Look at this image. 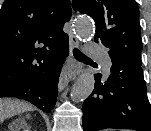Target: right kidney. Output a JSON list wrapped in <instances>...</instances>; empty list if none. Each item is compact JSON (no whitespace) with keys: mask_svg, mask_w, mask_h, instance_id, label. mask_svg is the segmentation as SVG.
I'll return each instance as SVG.
<instances>
[{"mask_svg":"<svg viewBox=\"0 0 151 131\" xmlns=\"http://www.w3.org/2000/svg\"><path fill=\"white\" fill-rule=\"evenodd\" d=\"M19 126H20V121L16 120L15 122H13L11 127L13 131H19L20 128Z\"/></svg>","mask_w":151,"mask_h":131,"instance_id":"1","label":"right kidney"}]
</instances>
